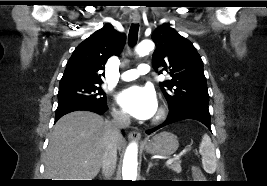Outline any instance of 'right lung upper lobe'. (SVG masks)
Returning <instances> with one entry per match:
<instances>
[{"label": "right lung upper lobe", "instance_id": "right-lung-upper-lobe-1", "mask_svg": "<svg viewBox=\"0 0 267 186\" xmlns=\"http://www.w3.org/2000/svg\"><path fill=\"white\" fill-rule=\"evenodd\" d=\"M124 33L116 31L109 23L78 45L67 62L60 85L90 83L101 84L103 70L109 57L118 56L124 45Z\"/></svg>", "mask_w": 267, "mask_h": 186}]
</instances>
